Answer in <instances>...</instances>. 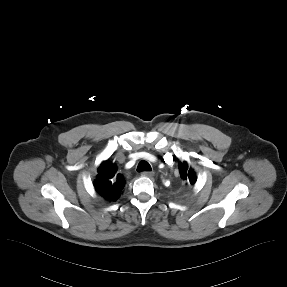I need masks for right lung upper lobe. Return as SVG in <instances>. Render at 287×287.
<instances>
[{
    "label": "right lung upper lobe",
    "instance_id": "right-lung-upper-lobe-1",
    "mask_svg": "<svg viewBox=\"0 0 287 287\" xmlns=\"http://www.w3.org/2000/svg\"><path fill=\"white\" fill-rule=\"evenodd\" d=\"M117 167L111 161H104L98 168V175L94 180L97 193L107 201H115L125 186L124 177L117 174Z\"/></svg>",
    "mask_w": 287,
    "mask_h": 287
}]
</instances>
